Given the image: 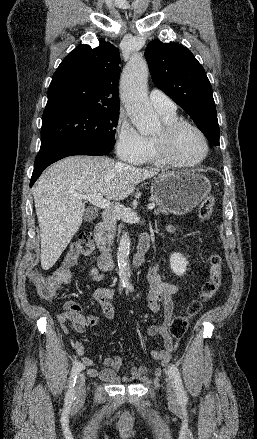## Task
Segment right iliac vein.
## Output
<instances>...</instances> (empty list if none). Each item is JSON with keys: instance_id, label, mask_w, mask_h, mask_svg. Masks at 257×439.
<instances>
[{"instance_id": "obj_1", "label": "right iliac vein", "mask_w": 257, "mask_h": 439, "mask_svg": "<svg viewBox=\"0 0 257 439\" xmlns=\"http://www.w3.org/2000/svg\"><path fill=\"white\" fill-rule=\"evenodd\" d=\"M86 396L85 374L78 375L75 385V398L77 401H83Z\"/></svg>"}]
</instances>
